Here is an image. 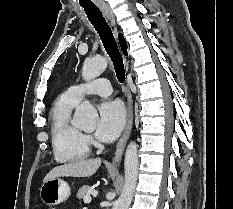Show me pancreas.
Returning <instances> with one entry per match:
<instances>
[{
    "label": "pancreas",
    "mask_w": 233,
    "mask_h": 209,
    "mask_svg": "<svg viewBox=\"0 0 233 209\" xmlns=\"http://www.w3.org/2000/svg\"><path fill=\"white\" fill-rule=\"evenodd\" d=\"M91 191H92V189H91L90 186L84 185V186H82V188H80L78 190V193H77L76 196H77V198L79 200H81V199H84V197L89 196V194H90Z\"/></svg>",
    "instance_id": "pancreas-1"
}]
</instances>
